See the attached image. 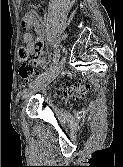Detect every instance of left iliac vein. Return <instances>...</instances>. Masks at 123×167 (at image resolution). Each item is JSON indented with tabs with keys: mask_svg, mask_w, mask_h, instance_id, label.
Wrapping results in <instances>:
<instances>
[{
	"mask_svg": "<svg viewBox=\"0 0 123 167\" xmlns=\"http://www.w3.org/2000/svg\"><path fill=\"white\" fill-rule=\"evenodd\" d=\"M67 60L66 54H64L56 66L41 80L37 81L32 87H30L23 95V99H26L33 95L34 93L46 88L63 70Z\"/></svg>",
	"mask_w": 123,
	"mask_h": 167,
	"instance_id": "left-iliac-vein-1",
	"label": "left iliac vein"
}]
</instances>
